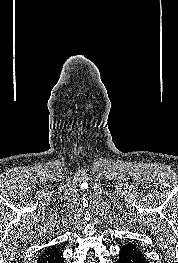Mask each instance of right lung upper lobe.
I'll return each mask as SVG.
<instances>
[{"label": "right lung upper lobe", "instance_id": "1", "mask_svg": "<svg viewBox=\"0 0 178 263\" xmlns=\"http://www.w3.org/2000/svg\"><path fill=\"white\" fill-rule=\"evenodd\" d=\"M58 249L55 248L54 246L48 249H45V251L38 257L37 261L44 259L45 257L51 255L54 252H57Z\"/></svg>", "mask_w": 178, "mask_h": 263}]
</instances>
